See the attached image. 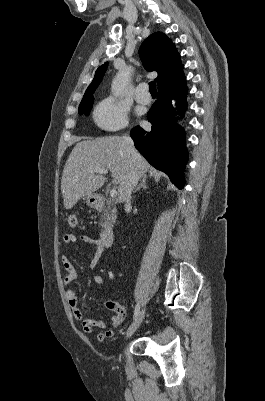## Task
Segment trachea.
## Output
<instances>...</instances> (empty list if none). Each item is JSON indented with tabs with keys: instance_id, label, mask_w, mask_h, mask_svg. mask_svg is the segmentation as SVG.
Returning <instances> with one entry per match:
<instances>
[{
	"instance_id": "1",
	"label": "trachea",
	"mask_w": 265,
	"mask_h": 401,
	"mask_svg": "<svg viewBox=\"0 0 265 401\" xmlns=\"http://www.w3.org/2000/svg\"><path fill=\"white\" fill-rule=\"evenodd\" d=\"M150 92H157L156 90V82L152 81L149 83Z\"/></svg>"
}]
</instances>
